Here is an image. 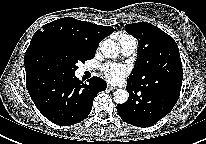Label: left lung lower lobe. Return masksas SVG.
<instances>
[{
    "mask_svg": "<svg viewBox=\"0 0 206 144\" xmlns=\"http://www.w3.org/2000/svg\"><path fill=\"white\" fill-rule=\"evenodd\" d=\"M129 99L117 105L119 116L128 124L150 127L166 116L176 104L181 85L150 87L127 80Z\"/></svg>",
    "mask_w": 206,
    "mask_h": 144,
    "instance_id": "1",
    "label": "left lung lower lobe"
}]
</instances>
